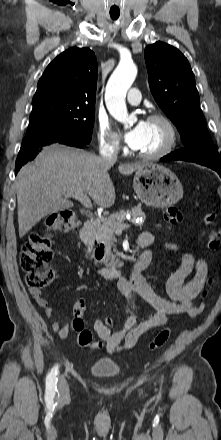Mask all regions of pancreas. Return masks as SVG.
<instances>
[{
	"instance_id": "pancreas-1",
	"label": "pancreas",
	"mask_w": 221,
	"mask_h": 440,
	"mask_svg": "<svg viewBox=\"0 0 221 440\" xmlns=\"http://www.w3.org/2000/svg\"><path fill=\"white\" fill-rule=\"evenodd\" d=\"M127 214L131 215L134 219L145 217L141 205H137L131 209L120 210V212L113 213L109 217L98 218L95 220L92 240H97L98 242L103 243L108 250V255L112 258L115 257L112 251H116L114 246V242L116 241L114 226L118 223H122ZM136 225L141 226L142 222H139Z\"/></svg>"
}]
</instances>
